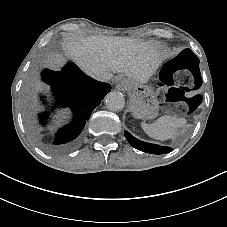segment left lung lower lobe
<instances>
[{"label": "left lung lower lobe", "instance_id": "0a47b994", "mask_svg": "<svg viewBox=\"0 0 227 227\" xmlns=\"http://www.w3.org/2000/svg\"><path fill=\"white\" fill-rule=\"evenodd\" d=\"M125 137L134 148L141 150L143 152H146V153L165 154V153H169L172 151L171 147L142 142V141L136 139L135 137H133L128 131H125Z\"/></svg>", "mask_w": 227, "mask_h": 227}]
</instances>
